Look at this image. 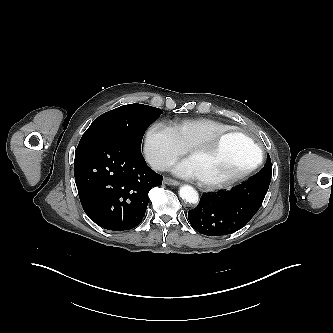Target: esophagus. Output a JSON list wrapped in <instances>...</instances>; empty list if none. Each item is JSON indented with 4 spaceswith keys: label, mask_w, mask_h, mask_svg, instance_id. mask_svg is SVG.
Listing matches in <instances>:
<instances>
[{
    "label": "esophagus",
    "mask_w": 333,
    "mask_h": 333,
    "mask_svg": "<svg viewBox=\"0 0 333 333\" xmlns=\"http://www.w3.org/2000/svg\"><path fill=\"white\" fill-rule=\"evenodd\" d=\"M163 182L167 185H173V186H178L181 184L179 181L168 178V177H165Z\"/></svg>",
    "instance_id": "34e87169"
}]
</instances>
